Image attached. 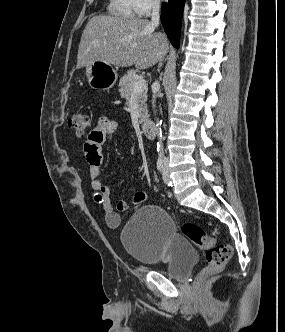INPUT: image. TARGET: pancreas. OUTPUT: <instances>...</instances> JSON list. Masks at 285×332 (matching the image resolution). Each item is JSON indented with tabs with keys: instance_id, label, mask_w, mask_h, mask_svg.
I'll list each match as a JSON object with an SVG mask.
<instances>
[{
	"instance_id": "pancreas-1",
	"label": "pancreas",
	"mask_w": 285,
	"mask_h": 332,
	"mask_svg": "<svg viewBox=\"0 0 285 332\" xmlns=\"http://www.w3.org/2000/svg\"><path fill=\"white\" fill-rule=\"evenodd\" d=\"M139 80L138 75L134 70H128L127 73L120 79L119 87H120V95L122 98L129 100L132 93L134 84ZM147 100V91L146 89L137 94V102L138 108L141 112L139 123H144L148 118V110L146 105Z\"/></svg>"
}]
</instances>
